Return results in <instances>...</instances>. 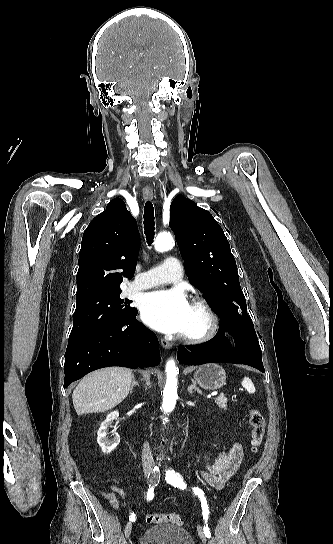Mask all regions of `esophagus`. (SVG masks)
Masks as SVG:
<instances>
[{"label":"esophagus","mask_w":333,"mask_h":544,"mask_svg":"<svg viewBox=\"0 0 333 544\" xmlns=\"http://www.w3.org/2000/svg\"><path fill=\"white\" fill-rule=\"evenodd\" d=\"M143 196L146 200H152L153 198V190L151 188H145L143 190ZM161 345L165 348V349H170L172 348V343L165 340V339H161Z\"/></svg>","instance_id":"34e87169"}]
</instances>
